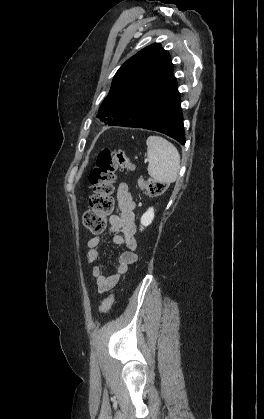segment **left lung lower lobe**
Here are the masks:
<instances>
[{"label":"left lung lower lobe","instance_id":"obj_1","mask_svg":"<svg viewBox=\"0 0 264 419\" xmlns=\"http://www.w3.org/2000/svg\"><path fill=\"white\" fill-rule=\"evenodd\" d=\"M110 126L143 128L164 133L185 144L180 94L175 77L146 88L140 100L122 115L106 120Z\"/></svg>","mask_w":264,"mask_h":419}]
</instances>
